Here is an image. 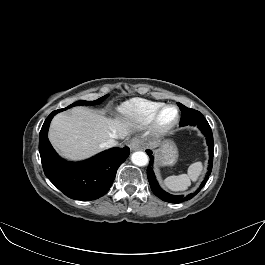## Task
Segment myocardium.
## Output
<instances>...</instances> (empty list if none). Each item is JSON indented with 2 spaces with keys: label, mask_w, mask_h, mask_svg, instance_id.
<instances>
[{
  "label": "myocardium",
  "mask_w": 265,
  "mask_h": 265,
  "mask_svg": "<svg viewBox=\"0 0 265 265\" xmlns=\"http://www.w3.org/2000/svg\"><path fill=\"white\" fill-rule=\"evenodd\" d=\"M173 108L175 110V116L169 122H163L162 116L163 113L169 109ZM180 113L177 106L172 104H165L160 107V109L156 112L152 121L150 122V129L153 134H164L171 130L179 121Z\"/></svg>",
  "instance_id": "myocardium-1"
}]
</instances>
